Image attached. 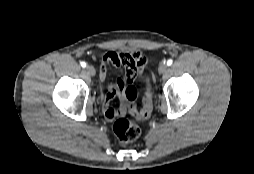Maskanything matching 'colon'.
<instances>
[{
	"label": "colon",
	"mask_w": 254,
	"mask_h": 174,
	"mask_svg": "<svg viewBox=\"0 0 254 174\" xmlns=\"http://www.w3.org/2000/svg\"><path fill=\"white\" fill-rule=\"evenodd\" d=\"M123 95L127 100V108L131 115L137 119H147L152 113V95L147 93L143 100V108L138 110L136 105V99L138 96L137 88L131 83H127L123 87ZM126 112V106L121 105L116 109V114L119 118L113 125L114 134L121 144H127L136 140L141 133L139 126L130 120L122 117Z\"/></svg>",
	"instance_id": "1"
}]
</instances>
